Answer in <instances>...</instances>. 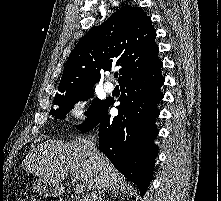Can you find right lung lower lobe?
<instances>
[{"label": "right lung lower lobe", "mask_w": 221, "mask_h": 201, "mask_svg": "<svg viewBox=\"0 0 221 201\" xmlns=\"http://www.w3.org/2000/svg\"><path fill=\"white\" fill-rule=\"evenodd\" d=\"M160 61L151 69L131 76L120 83L119 114L108 115V101L97 123L83 132L99 126V148L112 164L139 188L143 197L150 184L158 146L154 139L158 129L154 125L160 111L157 103L164 95Z\"/></svg>", "instance_id": "98d812e1"}]
</instances>
